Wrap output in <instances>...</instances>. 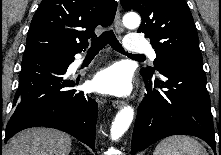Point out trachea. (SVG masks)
Returning a JSON list of instances; mask_svg holds the SVG:
<instances>
[{
    "label": "trachea",
    "mask_w": 221,
    "mask_h": 155,
    "mask_svg": "<svg viewBox=\"0 0 221 155\" xmlns=\"http://www.w3.org/2000/svg\"><path fill=\"white\" fill-rule=\"evenodd\" d=\"M107 44H109L114 50H116L122 54H126L129 57H134V58H144L145 57L144 55H132V54H128L127 52H125L122 45L117 40L113 30L106 31L102 35H100L99 37L92 39L89 52L98 53Z\"/></svg>",
    "instance_id": "3493384b"
}]
</instances>
